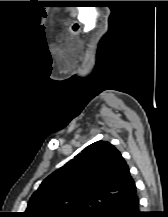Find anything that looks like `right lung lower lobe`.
Listing matches in <instances>:
<instances>
[{
  "label": "right lung lower lobe",
  "mask_w": 168,
  "mask_h": 217,
  "mask_svg": "<svg viewBox=\"0 0 168 217\" xmlns=\"http://www.w3.org/2000/svg\"><path fill=\"white\" fill-rule=\"evenodd\" d=\"M97 217H144L139 211L137 191L123 200L110 204Z\"/></svg>",
  "instance_id": "right-lung-lower-lobe-1"
}]
</instances>
